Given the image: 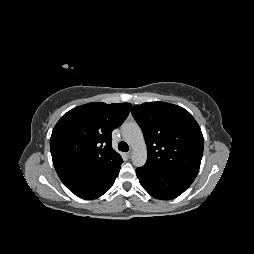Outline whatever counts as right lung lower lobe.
<instances>
[{
    "instance_id": "right-lung-lower-lobe-1",
    "label": "right lung lower lobe",
    "mask_w": 254,
    "mask_h": 254,
    "mask_svg": "<svg viewBox=\"0 0 254 254\" xmlns=\"http://www.w3.org/2000/svg\"><path fill=\"white\" fill-rule=\"evenodd\" d=\"M123 160L98 169L76 170L59 176L64 185L83 199H94L114 184Z\"/></svg>"
}]
</instances>
